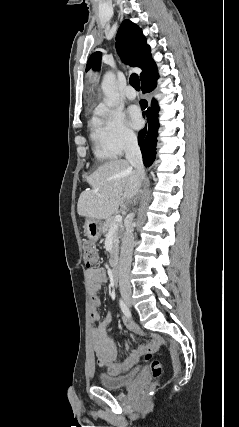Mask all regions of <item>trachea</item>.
Wrapping results in <instances>:
<instances>
[{
    "instance_id": "3493384b",
    "label": "trachea",
    "mask_w": 239,
    "mask_h": 427,
    "mask_svg": "<svg viewBox=\"0 0 239 427\" xmlns=\"http://www.w3.org/2000/svg\"><path fill=\"white\" fill-rule=\"evenodd\" d=\"M130 84L137 90H140V80L137 74H132L129 79Z\"/></svg>"
}]
</instances>
